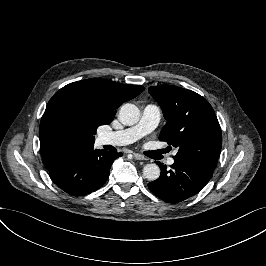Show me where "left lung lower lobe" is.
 <instances>
[{"instance_id":"left-lung-lower-lobe-1","label":"left lung lower lobe","mask_w":266,"mask_h":266,"mask_svg":"<svg viewBox=\"0 0 266 266\" xmlns=\"http://www.w3.org/2000/svg\"><path fill=\"white\" fill-rule=\"evenodd\" d=\"M161 176L148 184L149 189L167 203H178L196 195L212 178V169L201 164L175 159L167 170L160 162Z\"/></svg>"}]
</instances>
